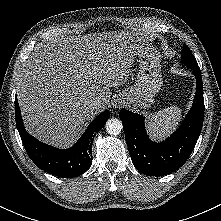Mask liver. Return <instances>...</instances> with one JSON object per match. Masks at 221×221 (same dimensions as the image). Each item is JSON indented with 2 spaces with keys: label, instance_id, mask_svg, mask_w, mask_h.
Wrapping results in <instances>:
<instances>
[{
  "label": "liver",
  "instance_id": "6515ba94",
  "mask_svg": "<svg viewBox=\"0 0 221 221\" xmlns=\"http://www.w3.org/2000/svg\"><path fill=\"white\" fill-rule=\"evenodd\" d=\"M149 45L129 31L66 36L39 43L23 64L17 97L23 121L37 139L70 146L92 118L105 109L111 88L126 82L132 62ZM101 105L92 108L90 102Z\"/></svg>",
  "mask_w": 221,
  "mask_h": 221
}]
</instances>
